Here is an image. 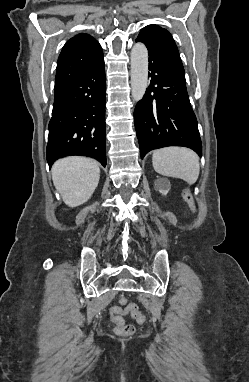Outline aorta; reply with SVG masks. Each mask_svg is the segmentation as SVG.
I'll return each instance as SVG.
<instances>
[{
    "label": "aorta",
    "mask_w": 249,
    "mask_h": 382,
    "mask_svg": "<svg viewBox=\"0 0 249 382\" xmlns=\"http://www.w3.org/2000/svg\"><path fill=\"white\" fill-rule=\"evenodd\" d=\"M148 82V50L143 43H135L131 50V92L134 101L143 98Z\"/></svg>",
    "instance_id": "aorta-1"
}]
</instances>
